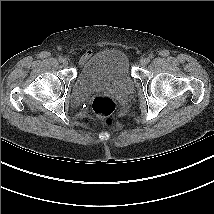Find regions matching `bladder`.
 Instances as JSON below:
<instances>
[{
	"label": "bladder",
	"instance_id": "31cf9c89",
	"mask_svg": "<svg viewBox=\"0 0 214 214\" xmlns=\"http://www.w3.org/2000/svg\"><path fill=\"white\" fill-rule=\"evenodd\" d=\"M133 77L126 55L116 49L95 54L82 64L71 87V99L79 100L97 89H109L118 95L132 91Z\"/></svg>",
	"mask_w": 214,
	"mask_h": 214
}]
</instances>
